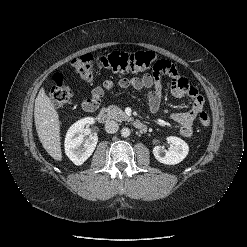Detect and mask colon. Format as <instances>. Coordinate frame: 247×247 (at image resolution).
I'll return each instance as SVG.
<instances>
[{"label": "colon", "instance_id": "5ec220e1", "mask_svg": "<svg viewBox=\"0 0 247 247\" xmlns=\"http://www.w3.org/2000/svg\"><path fill=\"white\" fill-rule=\"evenodd\" d=\"M74 71L83 79L91 81L102 72L129 73L152 69L156 75L166 73L171 63L159 59L153 52L138 51L134 53L112 52L95 59L91 54L82 55L72 61ZM72 98L71 89L64 83L63 75H54V85L50 91V99L57 106H63ZM198 123L201 128L207 129L210 117L207 112L198 114Z\"/></svg>", "mask_w": 247, "mask_h": 247}]
</instances>
